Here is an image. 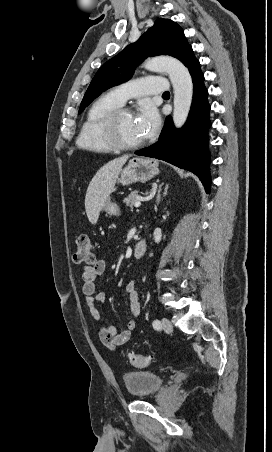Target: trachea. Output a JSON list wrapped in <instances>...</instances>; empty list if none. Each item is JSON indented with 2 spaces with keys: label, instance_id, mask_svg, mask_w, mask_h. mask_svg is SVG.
Wrapping results in <instances>:
<instances>
[{
  "label": "trachea",
  "instance_id": "trachea-1",
  "mask_svg": "<svg viewBox=\"0 0 272 452\" xmlns=\"http://www.w3.org/2000/svg\"><path fill=\"white\" fill-rule=\"evenodd\" d=\"M169 94H170L169 91H166V92L163 93V95H169Z\"/></svg>",
  "mask_w": 272,
  "mask_h": 452
}]
</instances>
